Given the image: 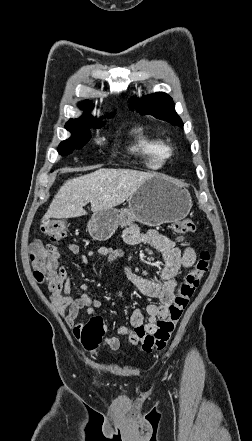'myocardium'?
Listing matches in <instances>:
<instances>
[{
  "instance_id": "obj_1",
  "label": "myocardium",
  "mask_w": 252,
  "mask_h": 441,
  "mask_svg": "<svg viewBox=\"0 0 252 441\" xmlns=\"http://www.w3.org/2000/svg\"><path fill=\"white\" fill-rule=\"evenodd\" d=\"M167 155L170 157L175 153V147L173 145H166Z\"/></svg>"
}]
</instances>
